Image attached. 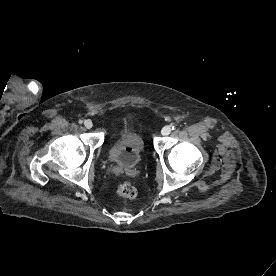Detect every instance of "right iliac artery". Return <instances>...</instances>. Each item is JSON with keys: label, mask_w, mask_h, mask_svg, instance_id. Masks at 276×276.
I'll use <instances>...</instances> for the list:
<instances>
[{"label": "right iliac artery", "mask_w": 276, "mask_h": 276, "mask_svg": "<svg viewBox=\"0 0 276 276\" xmlns=\"http://www.w3.org/2000/svg\"><path fill=\"white\" fill-rule=\"evenodd\" d=\"M82 122H83L82 120H79V121H78L79 124H82Z\"/></svg>", "instance_id": "1"}]
</instances>
